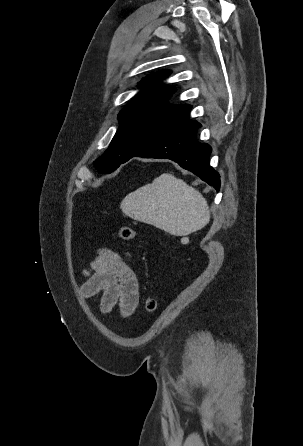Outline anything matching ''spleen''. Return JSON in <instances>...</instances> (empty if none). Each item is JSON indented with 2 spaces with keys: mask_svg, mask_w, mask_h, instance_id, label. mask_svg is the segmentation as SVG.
Segmentation results:
<instances>
[{
  "mask_svg": "<svg viewBox=\"0 0 303 446\" xmlns=\"http://www.w3.org/2000/svg\"><path fill=\"white\" fill-rule=\"evenodd\" d=\"M122 212L174 236H186L206 226L210 212L206 199L174 175L164 173L121 202Z\"/></svg>",
  "mask_w": 303,
  "mask_h": 446,
  "instance_id": "obj_1",
  "label": "spleen"
}]
</instances>
